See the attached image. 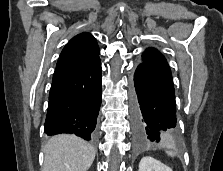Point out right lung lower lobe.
Masks as SVG:
<instances>
[{
	"instance_id": "obj_1",
	"label": "right lung lower lobe",
	"mask_w": 223,
	"mask_h": 171,
	"mask_svg": "<svg viewBox=\"0 0 223 171\" xmlns=\"http://www.w3.org/2000/svg\"><path fill=\"white\" fill-rule=\"evenodd\" d=\"M101 99L100 59L80 71L53 79L44 132L72 133L94 141Z\"/></svg>"
}]
</instances>
